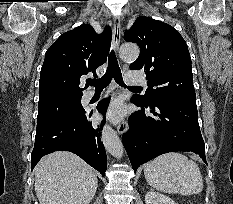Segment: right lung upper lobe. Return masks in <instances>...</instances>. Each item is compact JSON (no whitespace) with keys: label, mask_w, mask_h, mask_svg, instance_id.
Segmentation results:
<instances>
[{"label":"right lung upper lobe","mask_w":233,"mask_h":204,"mask_svg":"<svg viewBox=\"0 0 233 204\" xmlns=\"http://www.w3.org/2000/svg\"><path fill=\"white\" fill-rule=\"evenodd\" d=\"M111 29L97 34L82 24L62 34L46 51L41 68L39 102L58 97L82 96L79 87L84 74L96 75V68L107 60Z\"/></svg>","instance_id":"cb5924a9"}]
</instances>
